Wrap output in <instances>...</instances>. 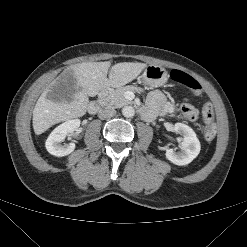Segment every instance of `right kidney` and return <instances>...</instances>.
Returning <instances> with one entry per match:
<instances>
[{"mask_svg": "<svg viewBox=\"0 0 247 247\" xmlns=\"http://www.w3.org/2000/svg\"><path fill=\"white\" fill-rule=\"evenodd\" d=\"M80 126L79 119L68 120L56 127L46 140L45 147L47 151L54 156L62 157L69 155L75 149V143L61 145L68 134L76 131Z\"/></svg>", "mask_w": 247, "mask_h": 247, "instance_id": "1", "label": "right kidney"}]
</instances>
